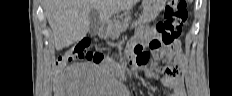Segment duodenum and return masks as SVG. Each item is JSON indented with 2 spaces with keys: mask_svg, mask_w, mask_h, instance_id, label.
Returning a JSON list of instances; mask_svg holds the SVG:
<instances>
[{
  "mask_svg": "<svg viewBox=\"0 0 232 96\" xmlns=\"http://www.w3.org/2000/svg\"><path fill=\"white\" fill-rule=\"evenodd\" d=\"M112 68H113V69H115V66H114V65H112ZM116 72L119 74V72H118V71H116Z\"/></svg>",
  "mask_w": 232,
  "mask_h": 96,
  "instance_id": "410a0bca",
  "label": "duodenum"
}]
</instances>
